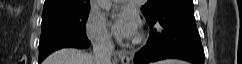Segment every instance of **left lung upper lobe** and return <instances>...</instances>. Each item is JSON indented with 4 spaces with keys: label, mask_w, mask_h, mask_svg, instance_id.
Listing matches in <instances>:
<instances>
[{
    "label": "left lung upper lobe",
    "mask_w": 242,
    "mask_h": 64,
    "mask_svg": "<svg viewBox=\"0 0 242 64\" xmlns=\"http://www.w3.org/2000/svg\"><path fill=\"white\" fill-rule=\"evenodd\" d=\"M177 0H148V2L141 7V11L146 19L153 17L162 7Z\"/></svg>",
    "instance_id": "left-lung-upper-lobe-1"
}]
</instances>
